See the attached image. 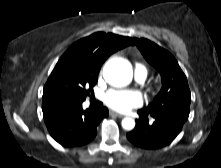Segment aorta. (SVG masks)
<instances>
[{"instance_id":"762f6f07","label":"aorta","mask_w":221,"mask_h":168,"mask_svg":"<svg viewBox=\"0 0 221 168\" xmlns=\"http://www.w3.org/2000/svg\"><path fill=\"white\" fill-rule=\"evenodd\" d=\"M103 77L111 86H127L133 77L132 65L124 58H112L104 65ZM122 127L127 131L132 130L135 127V120L130 117H125L122 120Z\"/></svg>"}]
</instances>
